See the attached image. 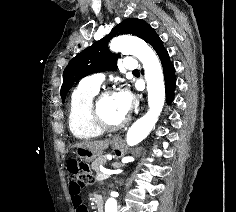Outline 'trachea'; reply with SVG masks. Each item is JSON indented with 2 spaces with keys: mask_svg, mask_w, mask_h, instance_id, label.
<instances>
[{
  "mask_svg": "<svg viewBox=\"0 0 236 212\" xmlns=\"http://www.w3.org/2000/svg\"><path fill=\"white\" fill-rule=\"evenodd\" d=\"M138 72H139V70H134V71H133V73H138Z\"/></svg>",
  "mask_w": 236,
  "mask_h": 212,
  "instance_id": "obj_1",
  "label": "trachea"
}]
</instances>
